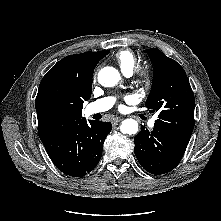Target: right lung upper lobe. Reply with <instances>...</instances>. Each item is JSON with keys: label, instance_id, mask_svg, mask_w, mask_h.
Returning a JSON list of instances; mask_svg holds the SVG:
<instances>
[{"label": "right lung upper lobe", "instance_id": "right-lung-upper-lobe-1", "mask_svg": "<svg viewBox=\"0 0 221 221\" xmlns=\"http://www.w3.org/2000/svg\"><path fill=\"white\" fill-rule=\"evenodd\" d=\"M109 52L70 55L46 73L35 99L41 141L84 120L82 105L91 96L94 69Z\"/></svg>", "mask_w": 221, "mask_h": 221}]
</instances>
